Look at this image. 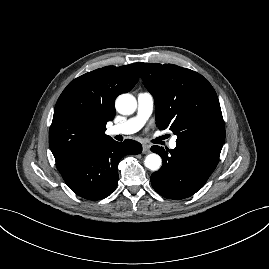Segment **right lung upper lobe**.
I'll return each instance as SVG.
<instances>
[{"instance_id": "cb5924a9", "label": "right lung upper lobe", "mask_w": 269, "mask_h": 269, "mask_svg": "<svg viewBox=\"0 0 269 269\" xmlns=\"http://www.w3.org/2000/svg\"><path fill=\"white\" fill-rule=\"evenodd\" d=\"M142 64L106 66L68 84L55 105L49 132V146L56 162L112 139L105 131L106 123L116 113L114 101L135 86Z\"/></svg>"}]
</instances>
